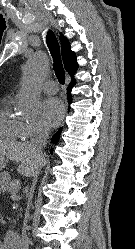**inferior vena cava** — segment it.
I'll list each match as a JSON object with an SVG mask.
<instances>
[{
	"instance_id": "602c4592",
	"label": "inferior vena cava",
	"mask_w": 135,
	"mask_h": 249,
	"mask_svg": "<svg viewBox=\"0 0 135 249\" xmlns=\"http://www.w3.org/2000/svg\"><path fill=\"white\" fill-rule=\"evenodd\" d=\"M48 138H49V130L47 128H39L36 137L33 138L30 142V146L32 147L35 155H38V156L43 155L42 148L45 147ZM38 174H39V170H37L35 174L33 175L34 179H33V186L31 188L30 196L33 195L34 187H35V184L38 178ZM18 249H29V241L25 233L22 235Z\"/></svg>"
}]
</instances>
